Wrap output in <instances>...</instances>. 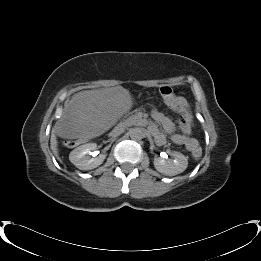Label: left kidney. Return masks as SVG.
Here are the masks:
<instances>
[{"label": "left kidney", "instance_id": "obj_1", "mask_svg": "<svg viewBox=\"0 0 261 261\" xmlns=\"http://www.w3.org/2000/svg\"><path fill=\"white\" fill-rule=\"evenodd\" d=\"M166 153L160 154V157L154 158V167L160 173L165 175H175L187 168L188 161L186 157L177 151L171 152L173 159L165 160Z\"/></svg>", "mask_w": 261, "mask_h": 261}]
</instances>
